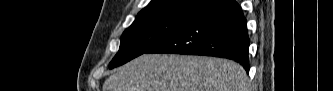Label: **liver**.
<instances>
[{"mask_svg":"<svg viewBox=\"0 0 333 91\" xmlns=\"http://www.w3.org/2000/svg\"><path fill=\"white\" fill-rule=\"evenodd\" d=\"M243 67L220 58L144 54L121 67L103 91H249Z\"/></svg>","mask_w":333,"mask_h":91,"instance_id":"1","label":"liver"}]
</instances>
